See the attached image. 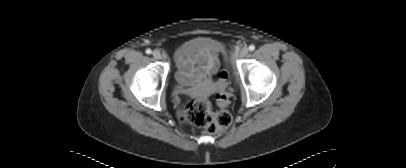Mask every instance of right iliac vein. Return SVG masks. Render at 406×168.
<instances>
[{
	"mask_svg": "<svg viewBox=\"0 0 406 168\" xmlns=\"http://www.w3.org/2000/svg\"><path fill=\"white\" fill-rule=\"evenodd\" d=\"M152 55L157 60L161 59V57H162L161 53L157 50L153 51Z\"/></svg>",
	"mask_w": 406,
	"mask_h": 168,
	"instance_id": "1",
	"label": "right iliac vein"
}]
</instances>
